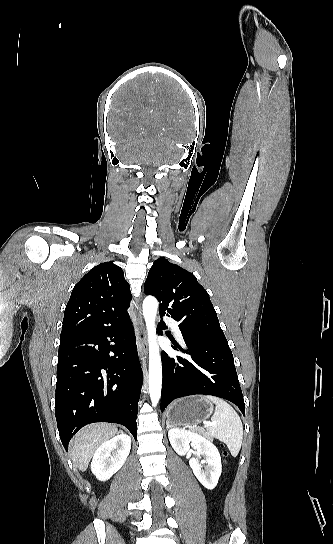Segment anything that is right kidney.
Masks as SVG:
<instances>
[{
  "label": "right kidney",
  "instance_id": "ca27d5eb",
  "mask_svg": "<svg viewBox=\"0 0 333 544\" xmlns=\"http://www.w3.org/2000/svg\"><path fill=\"white\" fill-rule=\"evenodd\" d=\"M131 449V438L122 433L103 443L95 452L91 471L100 481L112 477L125 463Z\"/></svg>",
  "mask_w": 333,
  "mask_h": 544
}]
</instances>
